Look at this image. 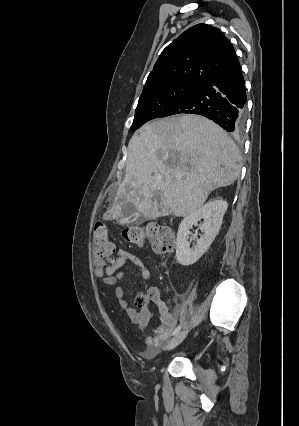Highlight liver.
<instances>
[{
  "label": "liver",
  "instance_id": "6515ba94",
  "mask_svg": "<svg viewBox=\"0 0 299 426\" xmlns=\"http://www.w3.org/2000/svg\"><path fill=\"white\" fill-rule=\"evenodd\" d=\"M239 160L233 140L205 117L182 114L147 123L129 141L126 174L104 218L122 217L128 203L146 219L187 216L211 191L236 180Z\"/></svg>",
  "mask_w": 299,
  "mask_h": 426
}]
</instances>
